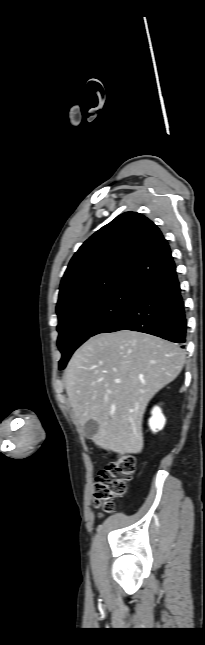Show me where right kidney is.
Returning a JSON list of instances; mask_svg holds the SVG:
<instances>
[{
    "instance_id": "ca27d5eb",
    "label": "right kidney",
    "mask_w": 205,
    "mask_h": 645,
    "mask_svg": "<svg viewBox=\"0 0 205 645\" xmlns=\"http://www.w3.org/2000/svg\"><path fill=\"white\" fill-rule=\"evenodd\" d=\"M152 416L149 419V426L153 432H157L159 430H162L166 419L164 415L162 414L161 409L158 406H155L151 412Z\"/></svg>"
}]
</instances>
